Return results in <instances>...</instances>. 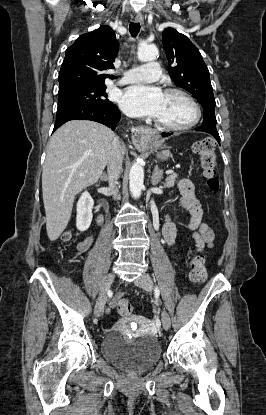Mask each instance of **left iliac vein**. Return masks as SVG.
<instances>
[{
    "mask_svg": "<svg viewBox=\"0 0 266 415\" xmlns=\"http://www.w3.org/2000/svg\"><path fill=\"white\" fill-rule=\"evenodd\" d=\"M135 285H137L138 287H140V288H142V289H144V290H146L147 292H150V291H152V289H153V282H152V279H151V277L148 275V274H146V273H143L140 277H138L136 280H135ZM161 320H162V325H163V327L165 328V329H169L170 328V325H171V320H170V316H169V314L167 313V311H165V310H163L162 311V314H161Z\"/></svg>",
    "mask_w": 266,
    "mask_h": 415,
    "instance_id": "obj_1",
    "label": "left iliac vein"
}]
</instances>
